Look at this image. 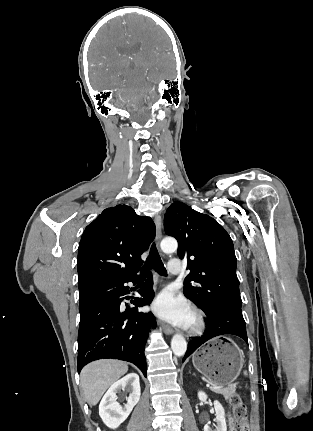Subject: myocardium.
Returning a JSON list of instances; mask_svg holds the SVG:
<instances>
[{
  "label": "myocardium",
  "instance_id": "myocardium-1",
  "mask_svg": "<svg viewBox=\"0 0 313 431\" xmlns=\"http://www.w3.org/2000/svg\"><path fill=\"white\" fill-rule=\"evenodd\" d=\"M207 327L205 314L198 308L191 309V320L188 325V331L192 335L202 334Z\"/></svg>",
  "mask_w": 313,
  "mask_h": 431
}]
</instances>
